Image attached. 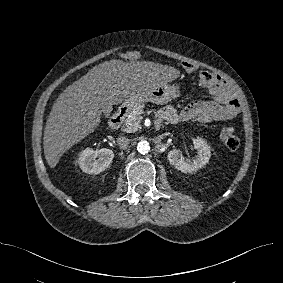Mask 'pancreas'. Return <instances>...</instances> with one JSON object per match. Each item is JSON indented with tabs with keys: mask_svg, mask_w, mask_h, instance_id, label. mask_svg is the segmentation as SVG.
Instances as JSON below:
<instances>
[{
	"mask_svg": "<svg viewBox=\"0 0 283 283\" xmlns=\"http://www.w3.org/2000/svg\"><path fill=\"white\" fill-rule=\"evenodd\" d=\"M143 104H139L135 106L129 113L127 119L125 120V123L122 127L123 132L132 133L136 132L139 129H141L140 122L142 120V114H143Z\"/></svg>",
	"mask_w": 283,
	"mask_h": 283,
	"instance_id": "obj_1",
	"label": "pancreas"
}]
</instances>
